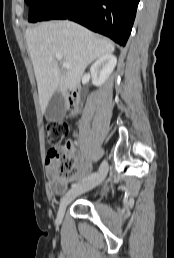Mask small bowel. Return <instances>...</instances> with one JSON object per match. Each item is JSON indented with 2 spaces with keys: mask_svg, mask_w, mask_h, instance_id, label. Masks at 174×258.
<instances>
[{
  "mask_svg": "<svg viewBox=\"0 0 174 258\" xmlns=\"http://www.w3.org/2000/svg\"><path fill=\"white\" fill-rule=\"evenodd\" d=\"M86 173V166L84 163L83 157H78L77 158V163H76V173L68 178V179H61L59 178L54 169V165L52 162L49 163L48 165V181L49 185L52 189V191L56 194H62L65 192L68 182L80 178L84 176Z\"/></svg>",
  "mask_w": 174,
  "mask_h": 258,
  "instance_id": "obj_1",
  "label": "small bowel"
}]
</instances>
